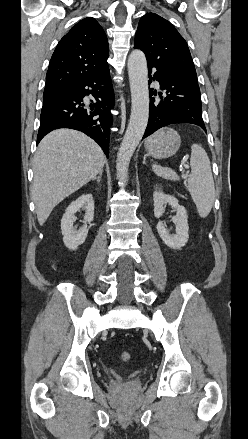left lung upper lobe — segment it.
Masks as SVG:
<instances>
[{
    "mask_svg": "<svg viewBox=\"0 0 248 439\" xmlns=\"http://www.w3.org/2000/svg\"><path fill=\"white\" fill-rule=\"evenodd\" d=\"M134 48L145 53L148 63L198 84L187 42L169 21L159 15L147 13L140 19Z\"/></svg>",
    "mask_w": 248,
    "mask_h": 439,
    "instance_id": "5c2ea615",
    "label": "left lung upper lobe"
}]
</instances>
